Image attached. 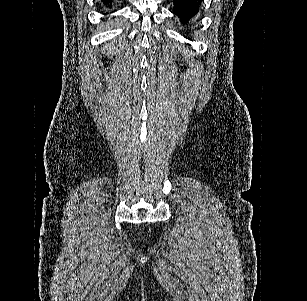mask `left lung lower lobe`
<instances>
[{
    "label": "left lung lower lobe",
    "instance_id": "obj_1",
    "mask_svg": "<svg viewBox=\"0 0 307 301\" xmlns=\"http://www.w3.org/2000/svg\"><path fill=\"white\" fill-rule=\"evenodd\" d=\"M175 15L181 20L182 25H191L199 12L201 0H173Z\"/></svg>",
    "mask_w": 307,
    "mask_h": 301
}]
</instances>
